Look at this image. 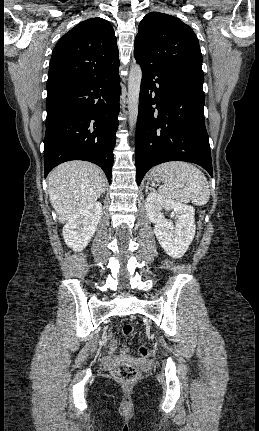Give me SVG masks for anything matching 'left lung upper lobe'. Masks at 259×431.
I'll use <instances>...</instances> for the list:
<instances>
[{
  "label": "left lung upper lobe",
  "mask_w": 259,
  "mask_h": 431,
  "mask_svg": "<svg viewBox=\"0 0 259 431\" xmlns=\"http://www.w3.org/2000/svg\"><path fill=\"white\" fill-rule=\"evenodd\" d=\"M134 57L156 69L203 85L198 38L190 26L174 16L151 12L141 20Z\"/></svg>",
  "instance_id": "obj_1"
}]
</instances>
